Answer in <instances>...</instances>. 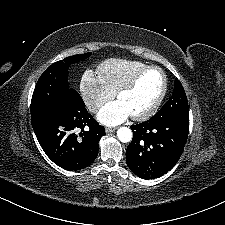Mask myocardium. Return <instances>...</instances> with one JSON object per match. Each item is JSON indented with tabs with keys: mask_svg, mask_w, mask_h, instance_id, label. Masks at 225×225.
<instances>
[{
	"mask_svg": "<svg viewBox=\"0 0 225 225\" xmlns=\"http://www.w3.org/2000/svg\"><path fill=\"white\" fill-rule=\"evenodd\" d=\"M149 70H156L161 74L162 88H161L159 95L157 96V98L155 99L153 104L150 106V108H148L142 114L131 116V118L134 121H144V120L150 118L155 113V111L158 109L159 105L161 104V102L166 94V91H167V77H166V74L163 71V69L158 66H155V65L145 66L144 68L140 69L136 74H134L129 79V81L127 83H125L122 87H120L117 90V92L115 93V96L118 99L122 94L131 91L135 87V85L138 83V81L142 77V75Z\"/></svg>",
	"mask_w": 225,
	"mask_h": 225,
	"instance_id": "1",
	"label": "myocardium"
}]
</instances>
